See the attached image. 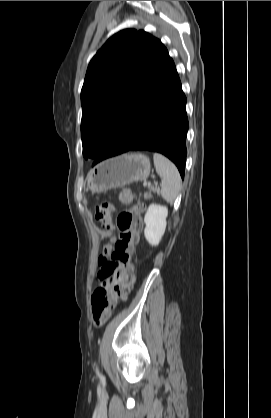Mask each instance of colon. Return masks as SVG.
Wrapping results in <instances>:
<instances>
[{"label": "colon", "mask_w": 271, "mask_h": 418, "mask_svg": "<svg viewBox=\"0 0 271 418\" xmlns=\"http://www.w3.org/2000/svg\"><path fill=\"white\" fill-rule=\"evenodd\" d=\"M119 199L126 204H131L133 202L132 191L128 188L121 189ZM142 208V204L137 203L118 213L116 224L120 231L119 237L114 243L110 259L101 257L99 260V279L103 281L113 278L114 285L112 290L102 285L93 293L92 317L96 326H101L107 321L115 298L125 299L133 283L134 275L130 253L139 240L142 227L140 219ZM113 211L114 206L109 202L100 203L95 207V219L103 228H111Z\"/></svg>", "instance_id": "obj_1"}]
</instances>
